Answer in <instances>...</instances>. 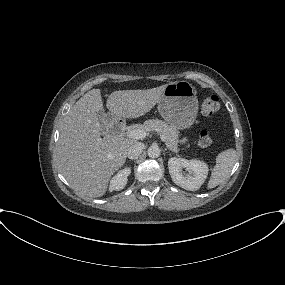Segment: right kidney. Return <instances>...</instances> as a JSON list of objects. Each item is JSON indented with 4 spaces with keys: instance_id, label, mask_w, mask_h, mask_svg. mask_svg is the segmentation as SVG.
Instances as JSON below:
<instances>
[{
    "instance_id": "1",
    "label": "right kidney",
    "mask_w": 285,
    "mask_h": 285,
    "mask_svg": "<svg viewBox=\"0 0 285 285\" xmlns=\"http://www.w3.org/2000/svg\"><path fill=\"white\" fill-rule=\"evenodd\" d=\"M131 174V169L124 168L120 170L110 181L109 190L112 191H120L127 184V177Z\"/></svg>"
}]
</instances>
